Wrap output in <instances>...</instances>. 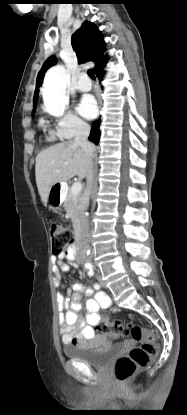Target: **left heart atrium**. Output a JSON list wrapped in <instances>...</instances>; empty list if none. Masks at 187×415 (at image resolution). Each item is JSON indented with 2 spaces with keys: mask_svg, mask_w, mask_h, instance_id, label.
Here are the masks:
<instances>
[{
  "mask_svg": "<svg viewBox=\"0 0 187 415\" xmlns=\"http://www.w3.org/2000/svg\"><path fill=\"white\" fill-rule=\"evenodd\" d=\"M77 110L83 117L87 119L93 118L97 112V105L93 96L86 95L82 97Z\"/></svg>",
  "mask_w": 187,
  "mask_h": 415,
  "instance_id": "left-heart-atrium-1",
  "label": "left heart atrium"
}]
</instances>
